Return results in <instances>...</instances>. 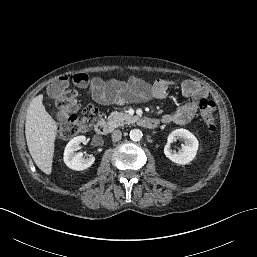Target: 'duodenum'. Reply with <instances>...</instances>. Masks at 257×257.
I'll return each mask as SVG.
<instances>
[{"instance_id": "duodenum-1", "label": "duodenum", "mask_w": 257, "mask_h": 257, "mask_svg": "<svg viewBox=\"0 0 257 257\" xmlns=\"http://www.w3.org/2000/svg\"><path fill=\"white\" fill-rule=\"evenodd\" d=\"M139 125L147 129H154L158 125V120L154 118L143 117L139 120ZM111 129L112 126L106 120H100L95 126V132L98 135H106L111 131Z\"/></svg>"}]
</instances>
